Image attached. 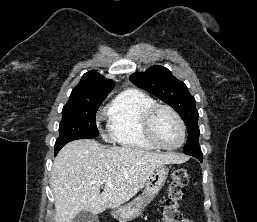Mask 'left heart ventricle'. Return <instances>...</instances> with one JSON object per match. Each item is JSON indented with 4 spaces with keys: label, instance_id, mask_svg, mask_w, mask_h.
<instances>
[{
    "label": "left heart ventricle",
    "instance_id": "left-heart-ventricle-1",
    "mask_svg": "<svg viewBox=\"0 0 257 222\" xmlns=\"http://www.w3.org/2000/svg\"><path fill=\"white\" fill-rule=\"evenodd\" d=\"M153 130L158 141L165 146H175L180 142L179 124L174 116L166 110H160L155 115Z\"/></svg>",
    "mask_w": 257,
    "mask_h": 222
}]
</instances>
